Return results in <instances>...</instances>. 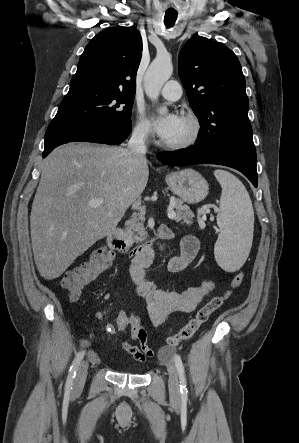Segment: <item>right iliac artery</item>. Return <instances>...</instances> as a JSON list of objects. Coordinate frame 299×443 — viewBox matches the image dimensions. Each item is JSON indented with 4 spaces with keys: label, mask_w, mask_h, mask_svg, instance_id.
<instances>
[{
    "label": "right iliac artery",
    "mask_w": 299,
    "mask_h": 443,
    "mask_svg": "<svg viewBox=\"0 0 299 443\" xmlns=\"http://www.w3.org/2000/svg\"><path fill=\"white\" fill-rule=\"evenodd\" d=\"M84 355H85V351L82 350L76 355L75 359L73 360V363L69 369V374H68L67 381H66V389L72 388L73 380L76 375V371H77L78 366L80 365Z\"/></svg>",
    "instance_id": "obj_1"
}]
</instances>
